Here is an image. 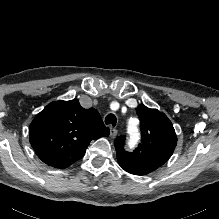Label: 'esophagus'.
Listing matches in <instances>:
<instances>
[{
    "mask_svg": "<svg viewBox=\"0 0 219 219\" xmlns=\"http://www.w3.org/2000/svg\"><path fill=\"white\" fill-rule=\"evenodd\" d=\"M118 135V130L114 127H110V137L115 138Z\"/></svg>",
    "mask_w": 219,
    "mask_h": 219,
    "instance_id": "obj_1",
    "label": "esophagus"
}]
</instances>
